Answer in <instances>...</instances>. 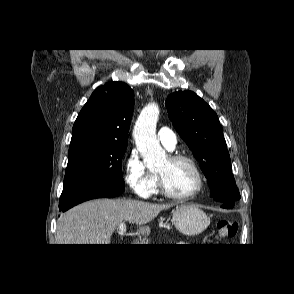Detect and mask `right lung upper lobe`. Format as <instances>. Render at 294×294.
<instances>
[{"mask_svg":"<svg viewBox=\"0 0 294 294\" xmlns=\"http://www.w3.org/2000/svg\"><path fill=\"white\" fill-rule=\"evenodd\" d=\"M134 93L123 82L97 88L80 111L70 145L81 143L127 145Z\"/></svg>","mask_w":294,"mask_h":294,"instance_id":"cb5924a9","label":"right lung upper lobe"}]
</instances>
